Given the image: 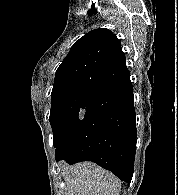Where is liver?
Returning a JSON list of instances; mask_svg holds the SVG:
<instances>
[{"instance_id": "1", "label": "liver", "mask_w": 178, "mask_h": 195, "mask_svg": "<svg viewBox=\"0 0 178 195\" xmlns=\"http://www.w3.org/2000/svg\"><path fill=\"white\" fill-rule=\"evenodd\" d=\"M62 170L65 195H119L120 181L92 162L63 165Z\"/></svg>"}]
</instances>
